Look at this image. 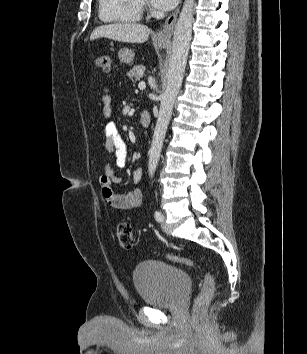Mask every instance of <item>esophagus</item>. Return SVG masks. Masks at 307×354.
Masks as SVG:
<instances>
[{
	"mask_svg": "<svg viewBox=\"0 0 307 354\" xmlns=\"http://www.w3.org/2000/svg\"><path fill=\"white\" fill-rule=\"evenodd\" d=\"M180 6L166 19L163 27L156 33L155 37L158 40H169L172 36L174 26L176 24L177 15Z\"/></svg>",
	"mask_w": 307,
	"mask_h": 354,
	"instance_id": "34e87169",
	"label": "esophagus"
}]
</instances>
